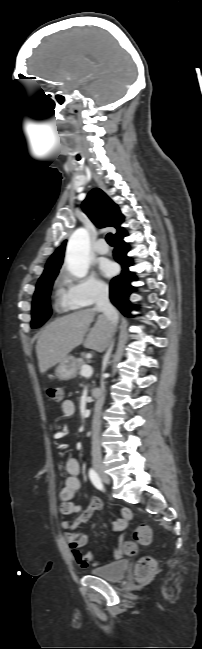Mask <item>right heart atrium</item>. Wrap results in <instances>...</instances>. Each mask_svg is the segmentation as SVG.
I'll return each instance as SVG.
<instances>
[{
  "mask_svg": "<svg viewBox=\"0 0 202 649\" xmlns=\"http://www.w3.org/2000/svg\"><path fill=\"white\" fill-rule=\"evenodd\" d=\"M61 280L64 288L59 296V305L65 310L89 307L108 292L107 284L92 275L77 278L64 273Z\"/></svg>",
  "mask_w": 202,
  "mask_h": 649,
  "instance_id": "1",
  "label": "right heart atrium"
}]
</instances>
